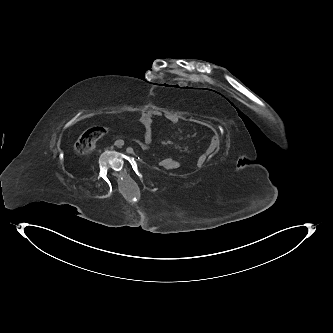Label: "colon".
I'll return each instance as SVG.
<instances>
[{
    "label": "colon",
    "mask_w": 333,
    "mask_h": 333,
    "mask_svg": "<svg viewBox=\"0 0 333 333\" xmlns=\"http://www.w3.org/2000/svg\"><path fill=\"white\" fill-rule=\"evenodd\" d=\"M106 127L94 126L83 132L74 144V150L81 155L89 154L95 147L96 142L107 133ZM171 157L159 161L160 167L171 165Z\"/></svg>",
    "instance_id": "colon-1"
}]
</instances>
